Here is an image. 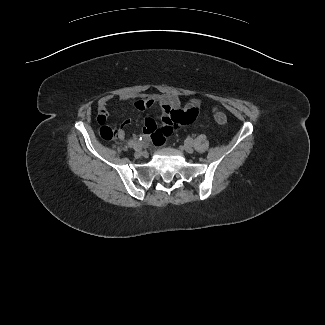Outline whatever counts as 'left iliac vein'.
<instances>
[{
    "mask_svg": "<svg viewBox=\"0 0 325 325\" xmlns=\"http://www.w3.org/2000/svg\"><path fill=\"white\" fill-rule=\"evenodd\" d=\"M184 150L187 152V153H193V148H192V146L190 145V144H185L184 145Z\"/></svg>",
    "mask_w": 325,
    "mask_h": 325,
    "instance_id": "4c4485c4",
    "label": "left iliac vein"
}]
</instances>
